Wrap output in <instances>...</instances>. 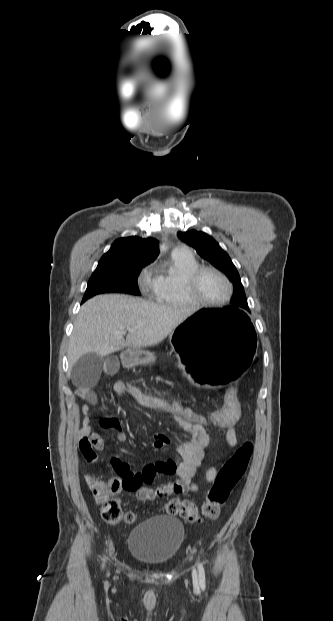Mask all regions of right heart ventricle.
<instances>
[{
  "label": "right heart ventricle",
  "instance_id": "e07e8e85",
  "mask_svg": "<svg viewBox=\"0 0 333 621\" xmlns=\"http://www.w3.org/2000/svg\"><path fill=\"white\" fill-rule=\"evenodd\" d=\"M198 267V262L191 254L174 251L166 266L156 272L152 286V299L171 306L192 305L185 290V282Z\"/></svg>",
  "mask_w": 333,
  "mask_h": 621
}]
</instances>
